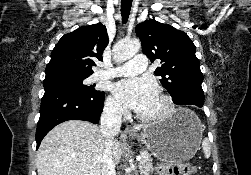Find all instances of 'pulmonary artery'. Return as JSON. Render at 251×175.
<instances>
[{"label": "pulmonary artery", "instance_id": "pulmonary-artery-1", "mask_svg": "<svg viewBox=\"0 0 251 175\" xmlns=\"http://www.w3.org/2000/svg\"><path fill=\"white\" fill-rule=\"evenodd\" d=\"M148 67V58H145L144 52H137L134 55V62H130V64L124 63L120 66L113 68L110 72V76H125L131 75L143 70H147Z\"/></svg>", "mask_w": 251, "mask_h": 175}]
</instances>
